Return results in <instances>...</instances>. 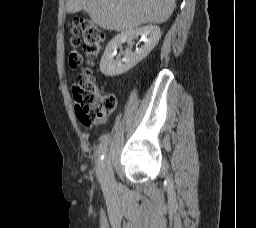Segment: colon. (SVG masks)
<instances>
[{
  "label": "colon",
  "instance_id": "obj_1",
  "mask_svg": "<svg viewBox=\"0 0 256 228\" xmlns=\"http://www.w3.org/2000/svg\"><path fill=\"white\" fill-rule=\"evenodd\" d=\"M82 33L83 50L91 61L98 57L104 42V33L93 22L86 18H76L69 30L68 44L71 49L67 54V63L77 68L82 63V56L77 50L81 45ZM77 116L83 123H91L110 115L116 106L115 97L101 94L90 68L84 70L72 88Z\"/></svg>",
  "mask_w": 256,
  "mask_h": 228
}]
</instances>
